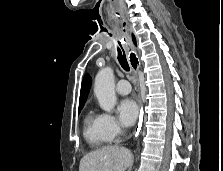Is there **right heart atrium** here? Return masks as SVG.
Listing matches in <instances>:
<instances>
[{"instance_id": "1", "label": "right heart atrium", "mask_w": 223, "mask_h": 171, "mask_svg": "<svg viewBox=\"0 0 223 171\" xmlns=\"http://www.w3.org/2000/svg\"><path fill=\"white\" fill-rule=\"evenodd\" d=\"M100 119L102 129L107 138L110 141L116 139L122 132V128L117 119L113 115L108 113H102L100 115Z\"/></svg>"}]
</instances>
